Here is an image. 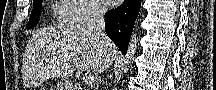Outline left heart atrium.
I'll return each instance as SVG.
<instances>
[{"label": "left heart atrium", "instance_id": "obj_1", "mask_svg": "<svg viewBox=\"0 0 216 90\" xmlns=\"http://www.w3.org/2000/svg\"><path fill=\"white\" fill-rule=\"evenodd\" d=\"M106 2H107L108 7H117L118 6V3H116L117 0H106Z\"/></svg>", "mask_w": 216, "mask_h": 90}]
</instances>
